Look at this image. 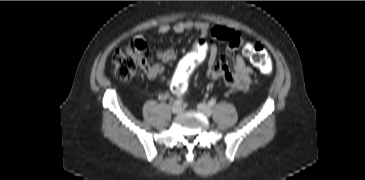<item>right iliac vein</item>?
Instances as JSON below:
<instances>
[{
  "mask_svg": "<svg viewBox=\"0 0 365 180\" xmlns=\"http://www.w3.org/2000/svg\"><path fill=\"white\" fill-rule=\"evenodd\" d=\"M171 110H172V112L174 113V114H178V113H180L181 112V106H179V105H173L172 106V108H171Z\"/></svg>",
  "mask_w": 365,
  "mask_h": 180,
  "instance_id": "1",
  "label": "right iliac vein"
}]
</instances>
